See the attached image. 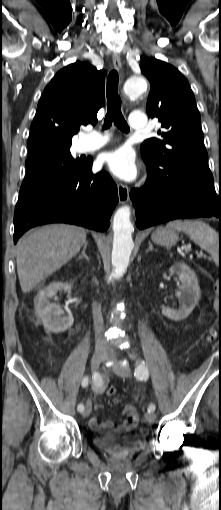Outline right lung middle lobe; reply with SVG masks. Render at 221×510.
<instances>
[{"label": "right lung middle lobe", "mask_w": 221, "mask_h": 510, "mask_svg": "<svg viewBox=\"0 0 221 510\" xmlns=\"http://www.w3.org/2000/svg\"><path fill=\"white\" fill-rule=\"evenodd\" d=\"M70 152V147H42L29 152L26 176L20 188L16 206H20L34 192L48 186L74 179L84 168L82 161Z\"/></svg>", "instance_id": "right-lung-middle-lobe-1"}]
</instances>
